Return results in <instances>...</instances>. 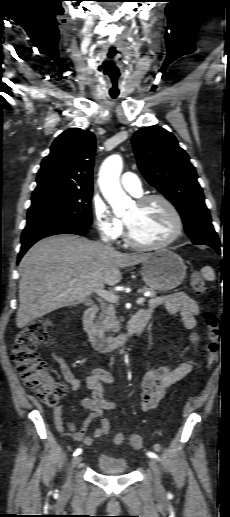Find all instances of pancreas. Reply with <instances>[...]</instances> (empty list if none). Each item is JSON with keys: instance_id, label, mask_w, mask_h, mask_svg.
Segmentation results:
<instances>
[{"instance_id": "cf45deb5", "label": "pancreas", "mask_w": 230, "mask_h": 517, "mask_svg": "<svg viewBox=\"0 0 230 517\" xmlns=\"http://www.w3.org/2000/svg\"><path fill=\"white\" fill-rule=\"evenodd\" d=\"M149 292V297L155 298L157 293L154 289L143 287L138 290V293ZM96 325L102 331H118L120 328L119 321L116 318L115 306L113 304L101 303V312L96 321Z\"/></svg>"}]
</instances>
